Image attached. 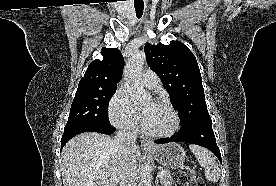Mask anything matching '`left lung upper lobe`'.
<instances>
[{
	"label": "left lung upper lobe",
	"mask_w": 276,
	"mask_h": 186,
	"mask_svg": "<svg viewBox=\"0 0 276 186\" xmlns=\"http://www.w3.org/2000/svg\"><path fill=\"white\" fill-rule=\"evenodd\" d=\"M144 49L148 65L162 80L173 107L181 115L179 131L211 122L200 70L190 49L179 41L169 45L146 44Z\"/></svg>",
	"instance_id": "5c2ea615"
}]
</instances>
